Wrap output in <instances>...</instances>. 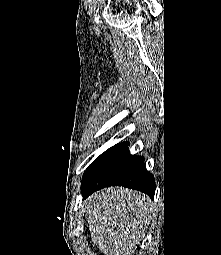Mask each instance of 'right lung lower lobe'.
I'll use <instances>...</instances> for the list:
<instances>
[{
    "label": "right lung lower lobe",
    "instance_id": "right-lung-lower-lobe-1",
    "mask_svg": "<svg viewBox=\"0 0 221 255\" xmlns=\"http://www.w3.org/2000/svg\"><path fill=\"white\" fill-rule=\"evenodd\" d=\"M109 186H124L154 197L155 181L144 164V157L132 156L128 143L115 145L101 154L83 175V198L94 191Z\"/></svg>",
    "mask_w": 221,
    "mask_h": 255
}]
</instances>
